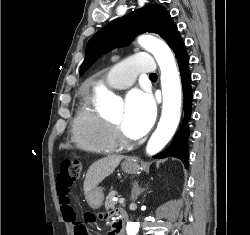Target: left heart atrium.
I'll return each instance as SVG.
<instances>
[{
  "label": "left heart atrium",
  "instance_id": "1",
  "mask_svg": "<svg viewBox=\"0 0 250 235\" xmlns=\"http://www.w3.org/2000/svg\"><path fill=\"white\" fill-rule=\"evenodd\" d=\"M155 113V103L149 93L138 89L130 91L125 99L124 130L131 137H142L151 128Z\"/></svg>",
  "mask_w": 250,
  "mask_h": 235
}]
</instances>
